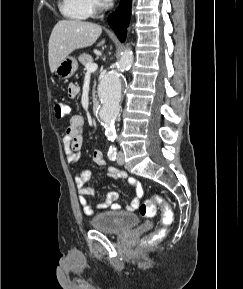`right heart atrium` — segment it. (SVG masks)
Segmentation results:
<instances>
[{
  "label": "right heart atrium",
  "instance_id": "1",
  "mask_svg": "<svg viewBox=\"0 0 243 289\" xmlns=\"http://www.w3.org/2000/svg\"><path fill=\"white\" fill-rule=\"evenodd\" d=\"M91 11H95L100 7L99 0H86Z\"/></svg>",
  "mask_w": 243,
  "mask_h": 289
}]
</instances>
